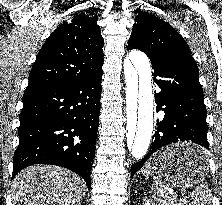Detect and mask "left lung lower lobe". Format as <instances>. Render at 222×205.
Instances as JSON below:
<instances>
[{"mask_svg":"<svg viewBox=\"0 0 222 205\" xmlns=\"http://www.w3.org/2000/svg\"><path fill=\"white\" fill-rule=\"evenodd\" d=\"M134 49V47H128ZM151 60L156 85L161 89L155 94L156 110H163V120H157L153 142L147 155L132 165L131 176L159 148L180 141H191L209 149L208 125L204 95L199 83L198 68L183 59L169 56H148ZM163 107V108H162ZM207 155L202 150L177 152L173 164L192 166L205 162Z\"/></svg>","mask_w":222,"mask_h":205,"instance_id":"obj_1","label":"left lung lower lobe"}]
</instances>
